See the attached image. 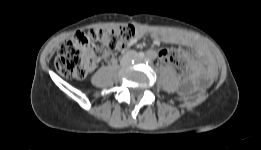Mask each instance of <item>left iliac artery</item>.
Wrapping results in <instances>:
<instances>
[{
    "instance_id": "1",
    "label": "left iliac artery",
    "mask_w": 261,
    "mask_h": 150,
    "mask_svg": "<svg viewBox=\"0 0 261 150\" xmlns=\"http://www.w3.org/2000/svg\"><path fill=\"white\" fill-rule=\"evenodd\" d=\"M146 63H147V64H148V63H149V64L152 63L151 58H147V59H146Z\"/></svg>"
}]
</instances>
